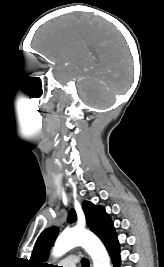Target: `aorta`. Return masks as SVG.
I'll use <instances>...</instances> for the list:
<instances>
[{
	"mask_svg": "<svg viewBox=\"0 0 164 267\" xmlns=\"http://www.w3.org/2000/svg\"><path fill=\"white\" fill-rule=\"evenodd\" d=\"M76 246H81L93 260V267H111L110 258L100 239L86 230L70 229L62 232L53 247L54 257H61Z\"/></svg>",
	"mask_w": 164,
	"mask_h": 267,
	"instance_id": "762f6f07",
	"label": "aorta"
}]
</instances>
